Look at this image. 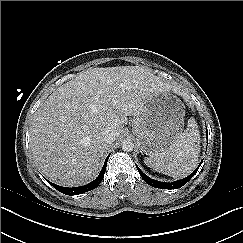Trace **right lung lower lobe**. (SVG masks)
Here are the masks:
<instances>
[{
  "label": "right lung lower lobe",
  "mask_w": 243,
  "mask_h": 243,
  "mask_svg": "<svg viewBox=\"0 0 243 243\" xmlns=\"http://www.w3.org/2000/svg\"><path fill=\"white\" fill-rule=\"evenodd\" d=\"M109 156H110V154L106 158L104 166H103L99 176L94 181H92L91 183H89L87 185H84L81 187L67 188V187H61L59 185H55L49 181L48 182L59 192L66 194V195H79V194L91 191V190L95 189L101 183V181L104 177V174H105L106 165H107Z\"/></svg>",
  "instance_id": "obj_1"
}]
</instances>
